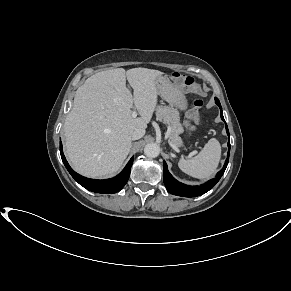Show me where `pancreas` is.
<instances>
[{
	"instance_id": "cf45deb5",
	"label": "pancreas",
	"mask_w": 291,
	"mask_h": 291,
	"mask_svg": "<svg viewBox=\"0 0 291 291\" xmlns=\"http://www.w3.org/2000/svg\"><path fill=\"white\" fill-rule=\"evenodd\" d=\"M156 117L169 126V139L171 143L178 147L182 143V139L179 137L182 128L177 110L168 106H158L156 109Z\"/></svg>"
}]
</instances>
